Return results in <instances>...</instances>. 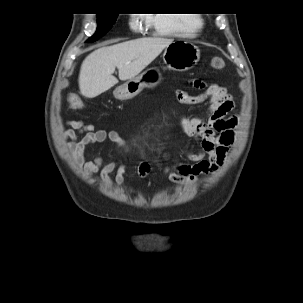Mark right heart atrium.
<instances>
[{"label":"right heart atrium","instance_id":"d8ad5b80","mask_svg":"<svg viewBox=\"0 0 303 303\" xmlns=\"http://www.w3.org/2000/svg\"><path fill=\"white\" fill-rule=\"evenodd\" d=\"M130 23L133 27H135L138 23V16H133Z\"/></svg>","mask_w":303,"mask_h":303}]
</instances>
